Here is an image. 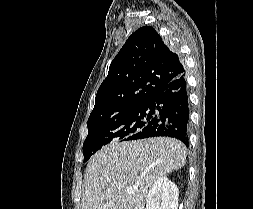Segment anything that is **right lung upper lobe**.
<instances>
[{
  "mask_svg": "<svg viewBox=\"0 0 253 209\" xmlns=\"http://www.w3.org/2000/svg\"><path fill=\"white\" fill-rule=\"evenodd\" d=\"M185 72L153 27L136 30L113 59L100 85L89 119L111 116L149 104L172 80Z\"/></svg>",
  "mask_w": 253,
  "mask_h": 209,
  "instance_id": "cb5924a9",
  "label": "right lung upper lobe"
}]
</instances>
